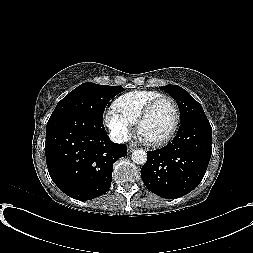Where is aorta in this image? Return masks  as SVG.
Masks as SVG:
<instances>
[{"instance_id": "aorta-1", "label": "aorta", "mask_w": 253, "mask_h": 253, "mask_svg": "<svg viewBox=\"0 0 253 253\" xmlns=\"http://www.w3.org/2000/svg\"><path fill=\"white\" fill-rule=\"evenodd\" d=\"M131 158L134 163L144 165L147 161V153L142 149H138L132 153Z\"/></svg>"}]
</instances>
